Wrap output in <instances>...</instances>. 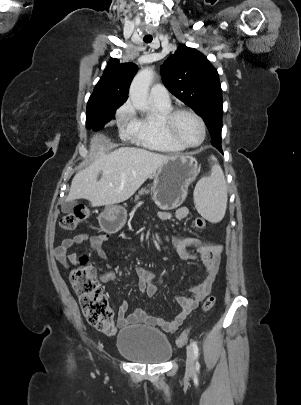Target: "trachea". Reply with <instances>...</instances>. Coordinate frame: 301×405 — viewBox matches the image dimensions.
I'll use <instances>...</instances> for the list:
<instances>
[{"instance_id": "trachea-1", "label": "trachea", "mask_w": 301, "mask_h": 405, "mask_svg": "<svg viewBox=\"0 0 301 405\" xmlns=\"http://www.w3.org/2000/svg\"><path fill=\"white\" fill-rule=\"evenodd\" d=\"M143 40L145 43H151L153 38H152V36L149 35V36H145Z\"/></svg>"}]
</instances>
